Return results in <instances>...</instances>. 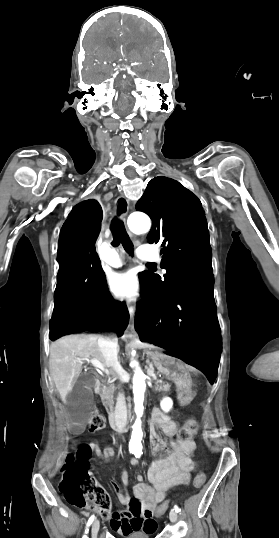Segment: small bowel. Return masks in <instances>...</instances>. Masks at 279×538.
I'll list each match as a JSON object with an SVG mask.
<instances>
[{"label": "small bowel", "instance_id": "small-bowel-1", "mask_svg": "<svg viewBox=\"0 0 279 538\" xmlns=\"http://www.w3.org/2000/svg\"><path fill=\"white\" fill-rule=\"evenodd\" d=\"M158 429L166 436L172 437L177 431V426L174 422H165L158 413L155 414L151 424L150 443L153 452L158 457L149 468V484L143 483V477L138 475V484L133 489L134 495L146 513L141 516H121L118 513H113L109 518L111 528L121 535L135 530L153 533L156 530V522L152 518V510L164 500L174 487L187 485L190 482L192 466L189 448L194 443L186 444L173 441L171 442V450L168 451V443L158 435ZM88 446L104 461L113 456L111 449L101 450L97 442H91ZM131 465H138V460L133 458ZM122 482L124 493H118L117 496L123 504H128L130 496L127 474L124 469Z\"/></svg>", "mask_w": 279, "mask_h": 538}]
</instances>
